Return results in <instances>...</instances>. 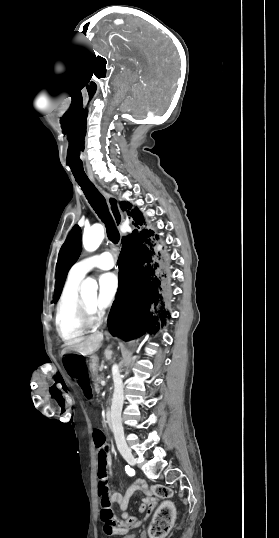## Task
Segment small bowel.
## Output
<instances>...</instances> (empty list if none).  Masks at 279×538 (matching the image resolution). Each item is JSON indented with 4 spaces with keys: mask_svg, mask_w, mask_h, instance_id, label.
<instances>
[{
    "mask_svg": "<svg viewBox=\"0 0 279 538\" xmlns=\"http://www.w3.org/2000/svg\"><path fill=\"white\" fill-rule=\"evenodd\" d=\"M106 465L111 474V456L107 457ZM134 491H141L144 495V499L141 501L139 507V511L141 513H146L142 519H139L136 516H128V514L125 512L128 506L129 498ZM111 499L120 506L122 514L120 516L113 515L112 517H105L102 515L104 529L107 534H126L131 529L138 528L141 523L151 515L156 506V501L152 498V492L143 480L134 481L124 496L119 492H114L111 495Z\"/></svg>",
    "mask_w": 279,
    "mask_h": 538,
    "instance_id": "1",
    "label": "small bowel"
}]
</instances>
